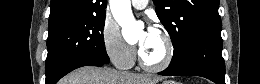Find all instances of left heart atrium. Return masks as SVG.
<instances>
[{
    "instance_id": "obj_1",
    "label": "left heart atrium",
    "mask_w": 260,
    "mask_h": 84,
    "mask_svg": "<svg viewBox=\"0 0 260 84\" xmlns=\"http://www.w3.org/2000/svg\"><path fill=\"white\" fill-rule=\"evenodd\" d=\"M144 35V42L140 47H143L144 45L148 44L157 35V32L153 27L149 26L145 31Z\"/></svg>"
}]
</instances>
